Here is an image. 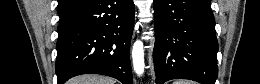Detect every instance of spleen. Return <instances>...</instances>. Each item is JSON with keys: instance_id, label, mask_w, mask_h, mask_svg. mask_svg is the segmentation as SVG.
<instances>
[{"instance_id": "3e777b00", "label": "spleen", "mask_w": 260, "mask_h": 84, "mask_svg": "<svg viewBox=\"0 0 260 84\" xmlns=\"http://www.w3.org/2000/svg\"><path fill=\"white\" fill-rule=\"evenodd\" d=\"M173 84H195V82L187 80H177Z\"/></svg>"}]
</instances>
